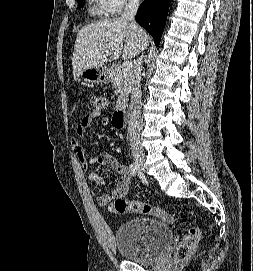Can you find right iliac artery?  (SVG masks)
I'll return each mask as SVG.
<instances>
[{
	"label": "right iliac artery",
	"mask_w": 253,
	"mask_h": 271,
	"mask_svg": "<svg viewBox=\"0 0 253 271\" xmlns=\"http://www.w3.org/2000/svg\"><path fill=\"white\" fill-rule=\"evenodd\" d=\"M129 170H130V174L132 176H135L136 173H137V165L135 163H132L130 166H129Z\"/></svg>",
	"instance_id": "obj_1"
}]
</instances>
